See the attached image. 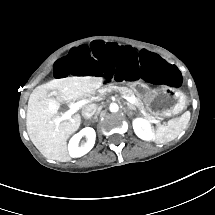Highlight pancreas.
I'll return each mask as SVG.
<instances>
[{
	"instance_id": "cf45deb5",
	"label": "pancreas",
	"mask_w": 215,
	"mask_h": 215,
	"mask_svg": "<svg viewBox=\"0 0 215 215\" xmlns=\"http://www.w3.org/2000/svg\"><path fill=\"white\" fill-rule=\"evenodd\" d=\"M111 92H119L123 96H134V92L127 87H119L113 84H108L97 90L98 98L102 99L104 95ZM128 106L134 110L138 109L147 120L151 121L155 119L154 116H152L150 113L146 111L141 99H136L134 104H128Z\"/></svg>"
}]
</instances>
